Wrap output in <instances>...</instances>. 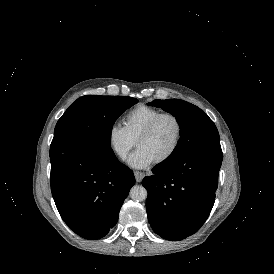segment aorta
Listing matches in <instances>:
<instances>
[{"mask_svg": "<svg viewBox=\"0 0 274 274\" xmlns=\"http://www.w3.org/2000/svg\"><path fill=\"white\" fill-rule=\"evenodd\" d=\"M147 195V190L142 185H135L130 190V197L134 201H144Z\"/></svg>", "mask_w": 274, "mask_h": 274, "instance_id": "1", "label": "aorta"}]
</instances>
